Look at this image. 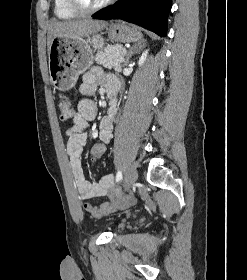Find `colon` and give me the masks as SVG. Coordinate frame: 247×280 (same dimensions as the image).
<instances>
[{
    "mask_svg": "<svg viewBox=\"0 0 247 280\" xmlns=\"http://www.w3.org/2000/svg\"><path fill=\"white\" fill-rule=\"evenodd\" d=\"M58 108L60 112V118L62 120H69L73 117L74 111L71 101L66 96H61L58 102ZM107 146L102 140H97L96 143L92 145L90 150V157L93 161L98 160L101 156L106 154Z\"/></svg>",
    "mask_w": 247,
    "mask_h": 280,
    "instance_id": "obj_1",
    "label": "colon"
}]
</instances>
